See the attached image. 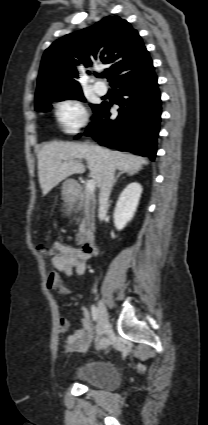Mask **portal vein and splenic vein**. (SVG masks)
I'll use <instances>...</instances> for the list:
<instances>
[{"label": "portal vein and splenic vein", "instance_id": "18ae733b", "mask_svg": "<svg viewBox=\"0 0 208 425\" xmlns=\"http://www.w3.org/2000/svg\"><path fill=\"white\" fill-rule=\"evenodd\" d=\"M95 185H96V183H95V181L93 180V179H89L88 181H87V183H86V190L89 192V193H93L94 192V190H95Z\"/></svg>", "mask_w": 208, "mask_h": 425}]
</instances>
